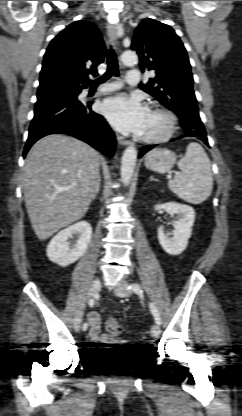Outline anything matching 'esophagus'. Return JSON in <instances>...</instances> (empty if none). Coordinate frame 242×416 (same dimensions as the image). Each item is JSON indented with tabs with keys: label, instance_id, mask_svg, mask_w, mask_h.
I'll use <instances>...</instances> for the list:
<instances>
[{
	"label": "esophagus",
	"instance_id": "esophagus-1",
	"mask_svg": "<svg viewBox=\"0 0 242 416\" xmlns=\"http://www.w3.org/2000/svg\"><path fill=\"white\" fill-rule=\"evenodd\" d=\"M107 32L109 35L110 40L112 41V43L114 44L115 47H117L118 45V40H117V26L115 24H108L107 26ZM117 140L121 145H131V141L126 140L124 137L117 135Z\"/></svg>",
	"mask_w": 242,
	"mask_h": 416
}]
</instances>
